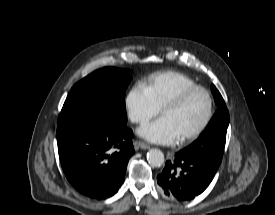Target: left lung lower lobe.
Wrapping results in <instances>:
<instances>
[{"label":"left lung lower lobe","mask_w":275,"mask_h":215,"mask_svg":"<svg viewBox=\"0 0 275 215\" xmlns=\"http://www.w3.org/2000/svg\"><path fill=\"white\" fill-rule=\"evenodd\" d=\"M218 167L211 161L190 156L181 150L173 160L166 162L157 182L167 197L189 201L209 186Z\"/></svg>","instance_id":"0a47b994"}]
</instances>
